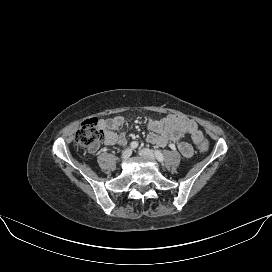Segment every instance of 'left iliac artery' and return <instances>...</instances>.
Returning a JSON list of instances; mask_svg holds the SVG:
<instances>
[{
	"label": "left iliac artery",
	"mask_w": 272,
	"mask_h": 272,
	"mask_svg": "<svg viewBox=\"0 0 272 272\" xmlns=\"http://www.w3.org/2000/svg\"><path fill=\"white\" fill-rule=\"evenodd\" d=\"M155 156H156V158H157V160L159 162H163L164 161V156H163V154L160 151L156 150L155 151Z\"/></svg>",
	"instance_id": "left-iliac-artery-1"
}]
</instances>
